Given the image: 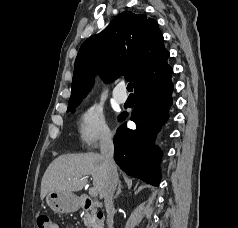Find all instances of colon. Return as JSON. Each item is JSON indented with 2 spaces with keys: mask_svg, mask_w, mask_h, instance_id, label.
Here are the masks:
<instances>
[{
  "mask_svg": "<svg viewBox=\"0 0 238 228\" xmlns=\"http://www.w3.org/2000/svg\"><path fill=\"white\" fill-rule=\"evenodd\" d=\"M37 228H56L49 215L40 213L36 217Z\"/></svg>",
  "mask_w": 238,
  "mask_h": 228,
  "instance_id": "obj_1",
  "label": "colon"
}]
</instances>
